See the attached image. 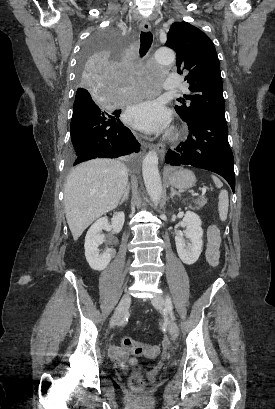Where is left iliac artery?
<instances>
[{"label":"left iliac artery","mask_w":275,"mask_h":409,"mask_svg":"<svg viewBox=\"0 0 275 409\" xmlns=\"http://www.w3.org/2000/svg\"><path fill=\"white\" fill-rule=\"evenodd\" d=\"M165 305H166V311H168L170 313L171 317L173 319H175V316H174V313H173L172 301H171V298L168 297V296L166 297Z\"/></svg>","instance_id":"1"}]
</instances>
